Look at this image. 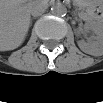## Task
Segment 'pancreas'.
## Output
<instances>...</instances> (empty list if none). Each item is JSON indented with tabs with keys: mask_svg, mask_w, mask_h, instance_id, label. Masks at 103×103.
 Returning a JSON list of instances; mask_svg holds the SVG:
<instances>
[{
	"mask_svg": "<svg viewBox=\"0 0 103 103\" xmlns=\"http://www.w3.org/2000/svg\"><path fill=\"white\" fill-rule=\"evenodd\" d=\"M78 11V16L82 19V20H85V21H89L90 18L89 16L81 9H77Z\"/></svg>",
	"mask_w": 103,
	"mask_h": 103,
	"instance_id": "pancreas-1",
	"label": "pancreas"
}]
</instances>
